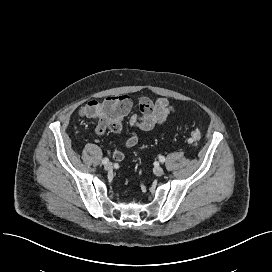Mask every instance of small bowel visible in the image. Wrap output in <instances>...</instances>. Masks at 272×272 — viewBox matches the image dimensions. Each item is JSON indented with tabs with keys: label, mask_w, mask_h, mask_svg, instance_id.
Masks as SVG:
<instances>
[{
	"label": "small bowel",
	"mask_w": 272,
	"mask_h": 272,
	"mask_svg": "<svg viewBox=\"0 0 272 272\" xmlns=\"http://www.w3.org/2000/svg\"><path fill=\"white\" fill-rule=\"evenodd\" d=\"M110 108L114 111V115L119 121V126L114 128V131H119L121 122L125 117H129V125L139 131H150L155 127L163 124L167 118L174 113V107L166 97H160L153 101L148 97H142L139 101L138 115L131 114L132 102L126 95L107 97L102 101H90L85 104L79 111L82 117L91 118L98 121V132L103 133L104 128L99 123L102 110ZM138 134L132 132L125 141V148L131 149L138 143ZM114 160L122 161L124 159V152L122 150H115L112 154Z\"/></svg>",
	"instance_id": "small-bowel-1"
}]
</instances>
